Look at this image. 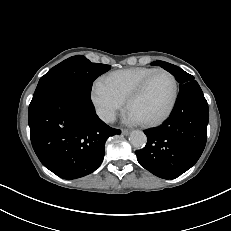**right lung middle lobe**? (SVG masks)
Returning a JSON list of instances; mask_svg holds the SVG:
<instances>
[{
	"mask_svg": "<svg viewBox=\"0 0 231 231\" xmlns=\"http://www.w3.org/2000/svg\"><path fill=\"white\" fill-rule=\"evenodd\" d=\"M108 70H110V65L92 63L85 56L70 57L41 77L31 102H36L59 86L74 87L91 95L93 81Z\"/></svg>",
	"mask_w": 231,
	"mask_h": 231,
	"instance_id": "dd1d6c3e",
	"label": "right lung middle lobe"
}]
</instances>
